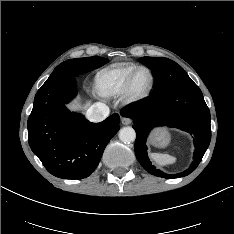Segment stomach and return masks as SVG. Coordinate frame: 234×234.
Instances as JSON below:
<instances>
[{
	"mask_svg": "<svg viewBox=\"0 0 234 234\" xmlns=\"http://www.w3.org/2000/svg\"><path fill=\"white\" fill-rule=\"evenodd\" d=\"M171 138L167 129H156L151 135V143L157 147H165Z\"/></svg>",
	"mask_w": 234,
	"mask_h": 234,
	"instance_id": "stomach-1",
	"label": "stomach"
}]
</instances>
